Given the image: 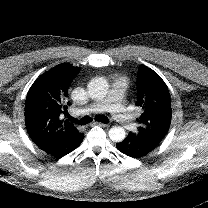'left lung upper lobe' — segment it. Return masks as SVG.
<instances>
[{
  "instance_id": "1",
  "label": "left lung upper lobe",
  "mask_w": 208,
  "mask_h": 208,
  "mask_svg": "<svg viewBox=\"0 0 208 208\" xmlns=\"http://www.w3.org/2000/svg\"><path fill=\"white\" fill-rule=\"evenodd\" d=\"M137 106L144 113L137 122L141 124L129 137L159 145L170 127L172 108L168 87L150 68L140 65L137 76Z\"/></svg>"
}]
</instances>
